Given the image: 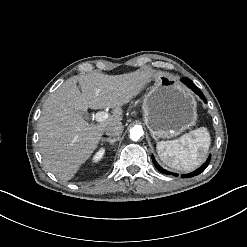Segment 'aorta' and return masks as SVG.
I'll return each mask as SVG.
<instances>
[{"label": "aorta", "instance_id": "762f6f07", "mask_svg": "<svg viewBox=\"0 0 247 247\" xmlns=\"http://www.w3.org/2000/svg\"><path fill=\"white\" fill-rule=\"evenodd\" d=\"M143 134H144V131L142 127L137 125L130 129L129 136L133 141H137L143 136Z\"/></svg>", "mask_w": 247, "mask_h": 247}]
</instances>
